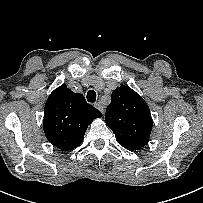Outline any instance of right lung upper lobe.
Here are the masks:
<instances>
[{"label": "right lung upper lobe", "mask_w": 203, "mask_h": 203, "mask_svg": "<svg viewBox=\"0 0 203 203\" xmlns=\"http://www.w3.org/2000/svg\"><path fill=\"white\" fill-rule=\"evenodd\" d=\"M101 116L102 113L88 104L82 94L61 85L50 94L45 104V136L60 150H73L83 141L88 125Z\"/></svg>", "instance_id": "cb5924a9"}]
</instances>
